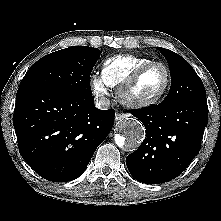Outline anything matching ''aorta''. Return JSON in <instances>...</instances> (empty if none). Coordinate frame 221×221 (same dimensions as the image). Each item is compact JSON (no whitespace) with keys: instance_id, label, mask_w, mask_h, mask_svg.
<instances>
[{"instance_id":"aorta-1","label":"aorta","mask_w":221,"mask_h":221,"mask_svg":"<svg viewBox=\"0 0 221 221\" xmlns=\"http://www.w3.org/2000/svg\"><path fill=\"white\" fill-rule=\"evenodd\" d=\"M119 134L115 136L116 144L128 151L137 150L140 142L145 136V128L141 122L133 118H127L118 123Z\"/></svg>"}]
</instances>
